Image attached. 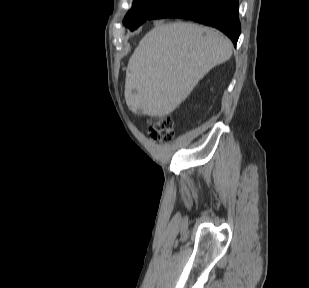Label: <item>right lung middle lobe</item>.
Listing matches in <instances>:
<instances>
[{
    "instance_id": "dd1d6c3e",
    "label": "right lung middle lobe",
    "mask_w": 309,
    "mask_h": 288,
    "mask_svg": "<svg viewBox=\"0 0 309 288\" xmlns=\"http://www.w3.org/2000/svg\"><path fill=\"white\" fill-rule=\"evenodd\" d=\"M172 1L173 0H134L132 9L125 16L123 24L131 30H134Z\"/></svg>"
}]
</instances>
